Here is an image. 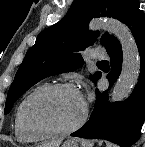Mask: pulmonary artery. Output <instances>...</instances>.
<instances>
[{"label":"pulmonary artery","mask_w":145,"mask_h":147,"mask_svg":"<svg viewBox=\"0 0 145 147\" xmlns=\"http://www.w3.org/2000/svg\"><path fill=\"white\" fill-rule=\"evenodd\" d=\"M107 54L101 49H95L91 52V57L95 60H100L106 58Z\"/></svg>","instance_id":"e3ab8cb5"}]
</instances>
